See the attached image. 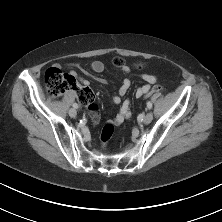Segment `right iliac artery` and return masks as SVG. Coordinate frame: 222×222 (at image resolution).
Instances as JSON below:
<instances>
[{
  "mask_svg": "<svg viewBox=\"0 0 222 222\" xmlns=\"http://www.w3.org/2000/svg\"><path fill=\"white\" fill-rule=\"evenodd\" d=\"M73 107H74V108H78V104H77V103H74V104H73Z\"/></svg>",
  "mask_w": 222,
  "mask_h": 222,
  "instance_id": "right-iliac-artery-1",
  "label": "right iliac artery"
}]
</instances>
